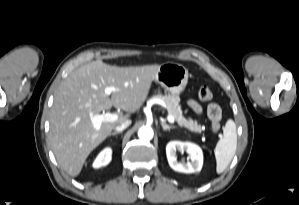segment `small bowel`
<instances>
[{"label":"small bowel","instance_id":"small-bowel-1","mask_svg":"<svg viewBox=\"0 0 299 205\" xmlns=\"http://www.w3.org/2000/svg\"><path fill=\"white\" fill-rule=\"evenodd\" d=\"M189 106L197 113V114H200L202 112V107L194 100H190L189 101ZM211 108H218V105L216 104H210L209 107H208V111L211 109Z\"/></svg>","mask_w":299,"mask_h":205}]
</instances>
